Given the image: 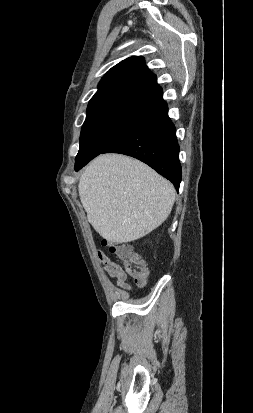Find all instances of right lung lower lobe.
Masks as SVG:
<instances>
[{
  "instance_id": "right-lung-lower-lobe-1",
  "label": "right lung lower lobe",
  "mask_w": 253,
  "mask_h": 413,
  "mask_svg": "<svg viewBox=\"0 0 253 413\" xmlns=\"http://www.w3.org/2000/svg\"><path fill=\"white\" fill-rule=\"evenodd\" d=\"M103 153H121L137 158L170 180L179 190L182 177L179 145L167 107L150 116L140 127ZM85 164L76 166L75 170Z\"/></svg>"
}]
</instances>
